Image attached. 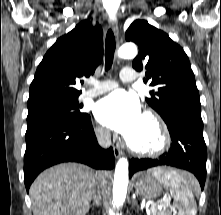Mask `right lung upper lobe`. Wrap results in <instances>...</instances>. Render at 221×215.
I'll list each match as a JSON object with an SVG mask.
<instances>
[{
    "mask_svg": "<svg viewBox=\"0 0 221 215\" xmlns=\"http://www.w3.org/2000/svg\"><path fill=\"white\" fill-rule=\"evenodd\" d=\"M102 59L101 26H93L89 19L80 22L43 57L30 85L28 107L78 99L79 78L93 74Z\"/></svg>",
    "mask_w": 221,
    "mask_h": 215,
    "instance_id": "cb5924a9",
    "label": "right lung upper lobe"
}]
</instances>
